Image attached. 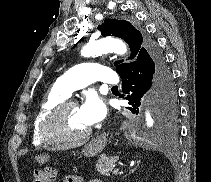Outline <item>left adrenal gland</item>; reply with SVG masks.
I'll return each instance as SVG.
<instances>
[{"instance_id": "a2214340", "label": "left adrenal gland", "mask_w": 211, "mask_h": 182, "mask_svg": "<svg viewBox=\"0 0 211 182\" xmlns=\"http://www.w3.org/2000/svg\"><path fill=\"white\" fill-rule=\"evenodd\" d=\"M140 161H138L137 165H139Z\"/></svg>"}]
</instances>
